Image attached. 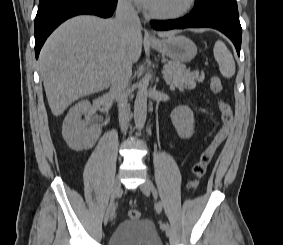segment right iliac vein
Instances as JSON below:
<instances>
[{
	"label": "right iliac vein",
	"mask_w": 283,
	"mask_h": 245,
	"mask_svg": "<svg viewBox=\"0 0 283 245\" xmlns=\"http://www.w3.org/2000/svg\"><path fill=\"white\" fill-rule=\"evenodd\" d=\"M121 191V183L119 178L117 177L112 185V190H111V202L114 201V199H116ZM110 202V203H111ZM110 220H112V207L111 204L109 205L105 216H104V224L106 225Z\"/></svg>",
	"instance_id": "1"
}]
</instances>
